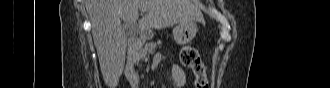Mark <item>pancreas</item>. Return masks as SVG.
<instances>
[{"label": "pancreas", "mask_w": 330, "mask_h": 88, "mask_svg": "<svg viewBox=\"0 0 330 88\" xmlns=\"http://www.w3.org/2000/svg\"><path fill=\"white\" fill-rule=\"evenodd\" d=\"M161 45V41L147 43L145 47L140 51V58L148 60L147 55L153 53L155 49Z\"/></svg>", "instance_id": "cf45deb5"}]
</instances>
